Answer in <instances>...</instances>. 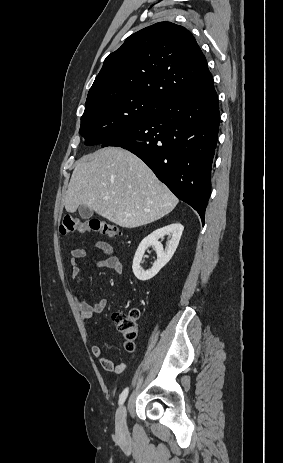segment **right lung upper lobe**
Segmentation results:
<instances>
[{
    "instance_id": "right-lung-upper-lobe-1",
    "label": "right lung upper lobe",
    "mask_w": 283,
    "mask_h": 463,
    "mask_svg": "<svg viewBox=\"0 0 283 463\" xmlns=\"http://www.w3.org/2000/svg\"><path fill=\"white\" fill-rule=\"evenodd\" d=\"M212 86L206 58L193 35L183 26L159 22L132 34L106 57L86 102L126 92L161 103Z\"/></svg>"
}]
</instances>
